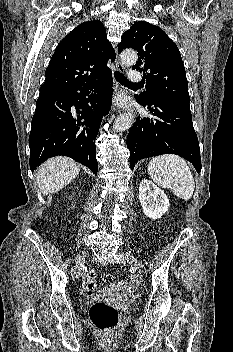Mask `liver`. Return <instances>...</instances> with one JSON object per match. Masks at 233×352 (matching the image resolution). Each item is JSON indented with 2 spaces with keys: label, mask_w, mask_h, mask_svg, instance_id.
<instances>
[{
  "label": "liver",
  "mask_w": 233,
  "mask_h": 352,
  "mask_svg": "<svg viewBox=\"0 0 233 352\" xmlns=\"http://www.w3.org/2000/svg\"><path fill=\"white\" fill-rule=\"evenodd\" d=\"M80 166L68 157L47 160L37 171V183L45 195L56 193L77 177Z\"/></svg>",
  "instance_id": "1"
}]
</instances>
